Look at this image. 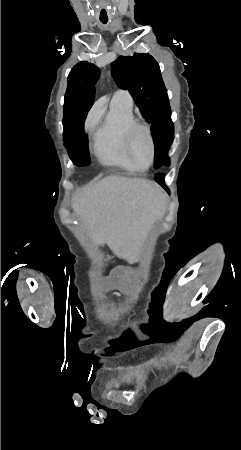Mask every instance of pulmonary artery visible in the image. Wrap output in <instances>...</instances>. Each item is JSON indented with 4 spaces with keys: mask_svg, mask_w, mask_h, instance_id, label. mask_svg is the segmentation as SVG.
I'll return each mask as SVG.
<instances>
[{
    "mask_svg": "<svg viewBox=\"0 0 241 450\" xmlns=\"http://www.w3.org/2000/svg\"><path fill=\"white\" fill-rule=\"evenodd\" d=\"M115 100L131 103V96L127 91L116 92L113 96V101Z\"/></svg>",
    "mask_w": 241,
    "mask_h": 450,
    "instance_id": "pulmonary-artery-1",
    "label": "pulmonary artery"
}]
</instances>
